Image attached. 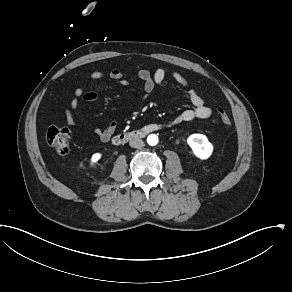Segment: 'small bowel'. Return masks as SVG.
<instances>
[{"instance_id": "small-bowel-1", "label": "small bowel", "mask_w": 292, "mask_h": 292, "mask_svg": "<svg viewBox=\"0 0 292 292\" xmlns=\"http://www.w3.org/2000/svg\"><path fill=\"white\" fill-rule=\"evenodd\" d=\"M108 76L110 79L120 81L122 84H126L124 80V74L121 70L114 68L109 71ZM105 77V73L102 71H94L89 75L90 80H100ZM167 77H171L174 81L184 87L187 91V96L191 102L193 108L186 109L178 115L161 123L165 128L178 125L180 123L189 122L194 119H206L212 114V110L208 107L203 98L190 86L189 81L181 73L169 70L166 68H159L154 72H150L146 69H141L136 73V78L143 84V98L147 99L154 89L163 84ZM75 98L72 99L65 108V119L69 126L76 127L78 122L76 119V110L81 102H92L98 98V93L95 91H84L82 88H77L74 92ZM163 98L167 100H176L179 98L177 94L165 92ZM117 128V123H110L105 129H95L94 134L102 142H108L113 136Z\"/></svg>"}]
</instances>
